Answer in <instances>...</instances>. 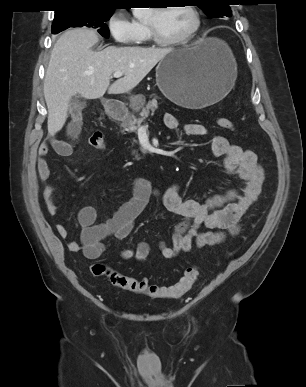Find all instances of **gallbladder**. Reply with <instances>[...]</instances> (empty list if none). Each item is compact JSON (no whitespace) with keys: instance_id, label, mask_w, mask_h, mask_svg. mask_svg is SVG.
Instances as JSON below:
<instances>
[{"instance_id":"obj_1","label":"gallbladder","mask_w":306,"mask_h":387,"mask_svg":"<svg viewBox=\"0 0 306 387\" xmlns=\"http://www.w3.org/2000/svg\"><path fill=\"white\" fill-rule=\"evenodd\" d=\"M80 104L81 102H80L79 96L76 95L71 98L69 108L72 109Z\"/></svg>"}]
</instances>
